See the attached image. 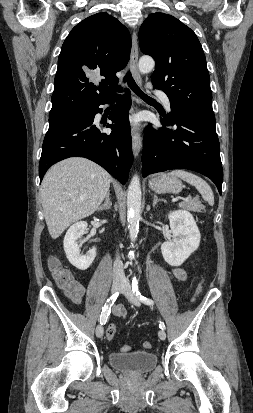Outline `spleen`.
Returning a JSON list of instances; mask_svg holds the SVG:
<instances>
[{"instance_id":"spleen-1","label":"spleen","mask_w":253,"mask_h":413,"mask_svg":"<svg viewBox=\"0 0 253 413\" xmlns=\"http://www.w3.org/2000/svg\"><path fill=\"white\" fill-rule=\"evenodd\" d=\"M170 174L180 177L190 185L195 186V188L202 195L203 199L207 201L210 206L214 205V196L212 189L201 177L186 170H174Z\"/></svg>"}]
</instances>
